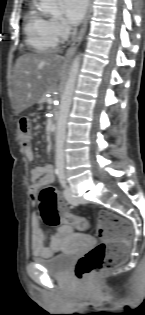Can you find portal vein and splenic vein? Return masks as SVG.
<instances>
[{
	"label": "portal vein and splenic vein",
	"mask_w": 145,
	"mask_h": 315,
	"mask_svg": "<svg viewBox=\"0 0 145 315\" xmlns=\"http://www.w3.org/2000/svg\"><path fill=\"white\" fill-rule=\"evenodd\" d=\"M49 103H52V100H49Z\"/></svg>",
	"instance_id": "obj_1"
}]
</instances>
